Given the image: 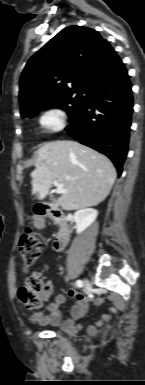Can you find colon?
Returning <instances> with one entry per match:
<instances>
[{"mask_svg":"<svg viewBox=\"0 0 145 385\" xmlns=\"http://www.w3.org/2000/svg\"><path fill=\"white\" fill-rule=\"evenodd\" d=\"M40 249L41 243L36 233L28 232L21 236L18 252L25 272L37 261ZM44 289L45 283L42 277L32 274L27 278L25 286L19 289V298L28 308H39L42 304Z\"/></svg>","mask_w":145,"mask_h":385,"instance_id":"5ec220e1","label":"colon"}]
</instances>
